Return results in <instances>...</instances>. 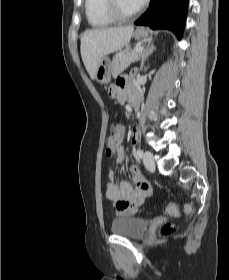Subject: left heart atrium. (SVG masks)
I'll return each mask as SVG.
<instances>
[{
  "mask_svg": "<svg viewBox=\"0 0 229 280\" xmlns=\"http://www.w3.org/2000/svg\"><path fill=\"white\" fill-rule=\"evenodd\" d=\"M134 1V3L137 5V7H142L145 5V3L148 1V0H132Z\"/></svg>",
  "mask_w": 229,
  "mask_h": 280,
  "instance_id": "left-heart-atrium-1",
  "label": "left heart atrium"
}]
</instances>
